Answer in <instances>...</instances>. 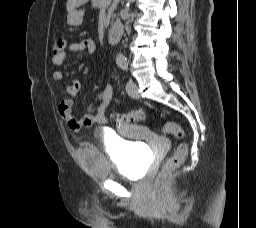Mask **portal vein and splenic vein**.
Instances as JSON below:
<instances>
[{
  "mask_svg": "<svg viewBox=\"0 0 256 228\" xmlns=\"http://www.w3.org/2000/svg\"><path fill=\"white\" fill-rule=\"evenodd\" d=\"M111 1H112V0H102V3L109 5V4L111 3Z\"/></svg>",
  "mask_w": 256,
  "mask_h": 228,
  "instance_id": "portal-vein-and-splenic-vein-1",
  "label": "portal vein and splenic vein"
}]
</instances>
